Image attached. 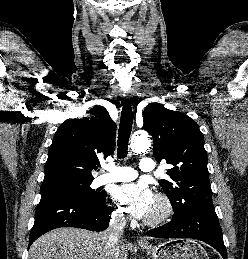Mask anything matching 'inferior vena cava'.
Returning a JSON list of instances; mask_svg holds the SVG:
<instances>
[{
    "label": "inferior vena cava",
    "instance_id": "602c4592",
    "mask_svg": "<svg viewBox=\"0 0 248 259\" xmlns=\"http://www.w3.org/2000/svg\"><path fill=\"white\" fill-rule=\"evenodd\" d=\"M126 220L121 214H112L108 228L103 232L106 238V247L111 248L117 244L123 234Z\"/></svg>",
    "mask_w": 248,
    "mask_h": 259
}]
</instances>
